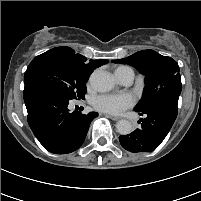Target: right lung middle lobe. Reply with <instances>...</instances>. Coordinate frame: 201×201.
Wrapping results in <instances>:
<instances>
[{
	"label": "right lung middle lobe",
	"mask_w": 201,
	"mask_h": 201,
	"mask_svg": "<svg viewBox=\"0 0 201 201\" xmlns=\"http://www.w3.org/2000/svg\"><path fill=\"white\" fill-rule=\"evenodd\" d=\"M87 79L76 75L65 59L57 53H43L29 64L24 83L50 87L69 100L84 98Z\"/></svg>",
	"instance_id": "1"
}]
</instances>
